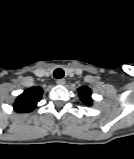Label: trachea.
<instances>
[{"label": "trachea", "mask_w": 134, "mask_h": 159, "mask_svg": "<svg viewBox=\"0 0 134 159\" xmlns=\"http://www.w3.org/2000/svg\"><path fill=\"white\" fill-rule=\"evenodd\" d=\"M54 77L60 79L64 76V71L61 68H58L53 73Z\"/></svg>", "instance_id": "trachea-1"}]
</instances>
